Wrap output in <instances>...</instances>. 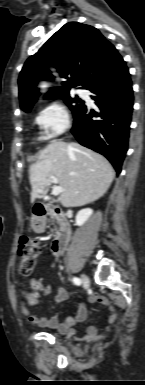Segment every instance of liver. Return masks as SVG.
Here are the masks:
<instances>
[{
    "instance_id": "obj_1",
    "label": "liver",
    "mask_w": 145,
    "mask_h": 385,
    "mask_svg": "<svg viewBox=\"0 0 145 385\" xmlns=\"http://www.w3.org/2000/svg\"><path fill=\"white\" fill-rule=\"evenodd\" d=\"M50 176L63 188L59 202L63 207H79L101 198L110 187L115 172L102 155L78 143L53 141L39 152L29 167L31 202L42 198Z\"/></svg>"
}]
</instances>
